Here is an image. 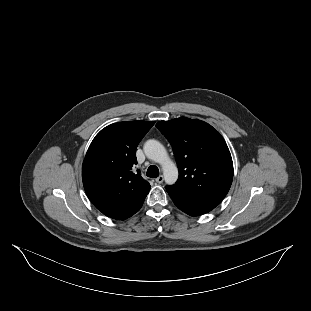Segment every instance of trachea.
<instances>
[{
    "label": "trachea",
    "instance_id": "trachea-1",
    "mask_svg": "<svg viewBox=\"0 0 311 311\" xmlns=\"http://www.w3.org/2000/svg\"><path fill=\"white\" fill-rule=\"evenodd\" d=\"M147 176L150 178H157L159 176V169L155 165H151L148 167Z\"/></svg>",
    "mask_w": 311,
    "mask_h": 311
}]
</instances>
